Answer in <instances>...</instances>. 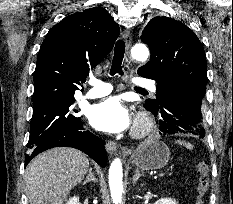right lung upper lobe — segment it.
<instances>
[{"mask_svg": "<svg viewBox=\"0 0 233 204\" xmlns=\"http://www.w3.org/2000/svg\"><path fill=\"white\" fill-rule=\"evenodd\" d=\"M119 25L102 7L67 16L45 37L34 73L33 104L74 97L82 78L112 50Z\"/></svg>", "mask_w": 233, "mask_h": 204, "instance_id": "obj_1", "label": "right lung upper lobe"}]
</instances>
